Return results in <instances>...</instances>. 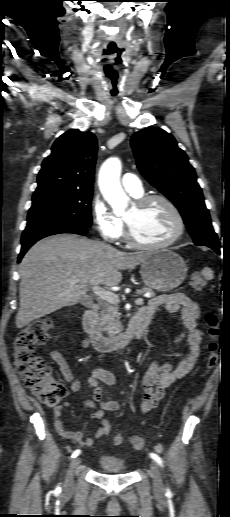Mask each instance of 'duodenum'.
<instances>
[{
  "mask_svg": "<svg viewBox=\"0 0 230 517\" xmlns=\"http://www.w3.org/2000/svg\"><path fill=\"white\" fill-rule=\"evenodd\" d=\"M98 311L99 306L97 304L89 306L83 314L82 324L85 332L90 337L94 349L99 352H110L125 348L135 339H141L153 315L150 310L141 308L131 317L124 332L115 336H105L95 324Z\"/></svg>",
  "mask_w": 230,
  "mask_h": 517,
  "instance_id": "duodenum-1",
  "label": "duodenum"
}]
</instances>
